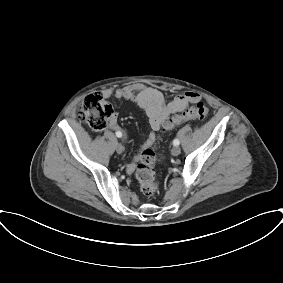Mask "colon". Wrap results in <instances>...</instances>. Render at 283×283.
Segmentation results:
<instances>
[{"instance_id":"5ec220e1","label":"colon","mask_w":283,"mask_h":283,"mask_svg":"<svg viewBox=\"0 0 283 283\" xmlns=\"http://www.w3.org/2000/svg\"><path fill=\"white\" fill-rule=\"evenodd\" d=\"M209 113L208 107L201 101L195 102L184 113L174 115L164 123V130H171L186 120L204 119ZM113 114L111 104L98 92L86 95L79 105L76 117L94 130H103ZM136 164V177L144 196L151 197L158 190L155 164L156 156L151 149H145Z\"/></svg>"}]
</instances>
